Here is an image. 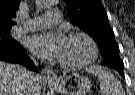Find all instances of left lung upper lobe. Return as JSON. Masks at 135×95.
<instances>
[{
  "label": "left lung upper lobe",
  "instance_id": "1",
  "mask_svg": "<svg viewBox=\"0 0 135 95\" xmlns=\"http://www.w3.org/2000/svg\"><path fill=\"white\" fill-rule=\"evenodd\" d=\"M71 22L89 34L98 44L103 60L119 62V47L101 0H65Z\"/></svg>",
  "mask_w": 135,
  "mask_h": 95
}]
</instances>
